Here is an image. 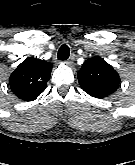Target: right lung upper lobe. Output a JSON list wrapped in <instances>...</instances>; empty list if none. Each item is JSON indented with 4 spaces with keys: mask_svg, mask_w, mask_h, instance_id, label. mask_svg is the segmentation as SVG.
Instances as JSON below:
<instances>
[{
    "mask_svg": "<svg viewBox=\"0 0 135 165\" xmlns=\"http://www.w3.org/2000/svg\"><path fill=\"white\" fill-rule=\"evenodd\" d=\"M52 64L44 60L27 58L13 71L9 84L21 100H35L46 88Z\"/></svg>",
    "mask_w": 135,
    "mask_h": 165,
    "instance_id": "cb5924a9",
    "label": "right lung upper lobe"
}]
</instances>
